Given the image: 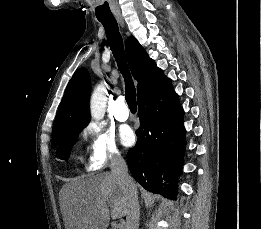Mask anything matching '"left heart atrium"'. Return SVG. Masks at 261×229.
I'll return each instance as SVG.
<instances>
[{
    "instance_id": "left-heart-atrium-1",
    "label": "left heart atrium",
    "mask_w": 261,
    "mask_h": 229,
    "mask_svg": "<svg viewBox=\"0 0 261 229\" xmlns=\"http://www.w3.org/2000/svg\"><path fill=\"white\" fill-rule=\"evenodd\" d=\"M135 133L132 128L125 126L121 131L122 143L126 146H130L135 142Z\"/></svg>"
}]
</instances>
